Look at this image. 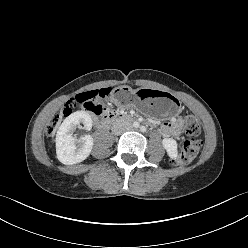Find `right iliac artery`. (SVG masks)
Instances as JSON below:
<instances>
[{"label":"right iliac artery","mask_w":248,"mask_h":248,"mask_svg":"<svg viewBox=\"0 0 248 248\" xmlns=\"http://www.w3.org/2000/svg\"><path fill=\"white\" fill-rule=\"evenodd\" d=\"M133 126L137 128V127H139V123L138 122H134L133 123Z\"/></svg>","instance_id":"right-iliac-artery-1"}]
</instances>
